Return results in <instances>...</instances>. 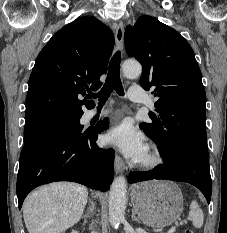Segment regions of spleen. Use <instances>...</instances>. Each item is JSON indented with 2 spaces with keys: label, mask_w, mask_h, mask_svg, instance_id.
I'll use <instances>...</instances> for the list:
<instances>
[{
  "label": "spleen",
  "mask_w": 227,
  "mask_h": 233,
  "mask_svg": "<svg viewBox=\"0 0 227 233\" xmlns=\"http://www.w3.org/2000/svg\"><path fill=\"white\" fill-rule=\"evenodd\" d=\"M189 216L192 220L193 226L195 228H201L204 221L203 211L199 207L198 203L194 200L190 204Z\"/></svg>",
  "instance_id": "obj_1"
}]
</instances>
